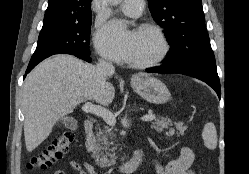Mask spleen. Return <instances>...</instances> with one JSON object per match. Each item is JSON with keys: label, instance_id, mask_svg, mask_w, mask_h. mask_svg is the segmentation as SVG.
<instances>
[{"label": "spleen", "instance_id": "1", "mask_svg": "<svg viewBox=\"0 0 249 174\" xmlns=\"http://www.w3.org/2000/svg\"><path fill=\"white\" fill-rule=\"evenodd\" d=\"M202 137L208 149L214 150L217 147V132L213 123L208 122L204 125Z\"/></svg>", "mask_w": 249, "mask_h": 174}]
</instances>
